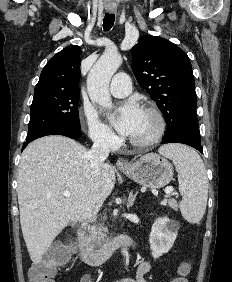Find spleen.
<instances>
[{"mask_svg": "<svg viewBox=\"0 0 232 282\" xmlns=\"http://www.w3.org/2000/svg\"><path fill=\"white\" fill-rule=\"evenodd\" d=\"M159 152L172 160L178 172L179 191L183 197L180 203L182 216L190 223H198L205 213L208 194L202 159L195 150L179 144L163 146Z\"/></svg>", "mask_w": 232, "mask_h": 282, "instance_id": "1", "label": "spleen"}]
</instances>
